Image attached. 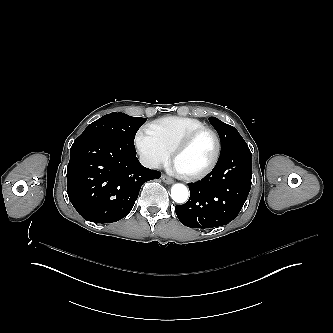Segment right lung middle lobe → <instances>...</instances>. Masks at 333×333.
Wrapping results in <instances>:
<instances>
[{
	"label": "right lung middle lobe",
	"mask_w": 333,
	"mask_h": 333,
	"mask_svg": "<svg viewBox=\"0 0 333 333\" xmlns=\"http://www.w3.org/2000/svg\"><path fill=\"white\" fill-rule=\"evenodd\" d=\"M145 121V118L130 117L124 113L113 112L91 123L80 136L102 134L135 149L136 132Z\"/></svg>",
	"instance_id": "obj_1"
}]
</instances>
